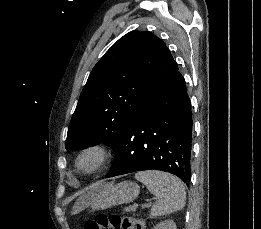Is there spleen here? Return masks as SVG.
Here are the masks:
<instances>
[{
    "label": "spleen",
    "mask_w": 261,
    "mask_h": 229,
    "mask_svg": "<svg viewBox=\"0 0 261 229\" xmlns=\"http://www.w3.org/2000/svg\"><path fill=\"white\" fill-rule=\"evenodd\" d=\"M135 179L143 183L148 191L155 195L156 203L151 209V219L171 215L175 211H181L186 205V193L184 183L163 171H139Z\"/></svg>",
    "instance_id": "spleen-1"
}]
</instances>
